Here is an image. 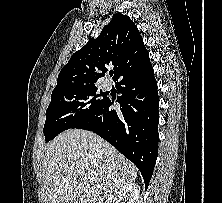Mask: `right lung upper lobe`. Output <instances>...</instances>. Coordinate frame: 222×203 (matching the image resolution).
Masks as SVG:
<instances>
[{"label": "right lung upper lobe", "instance_id": "cb5924a9", "mask_svg": "<svg viewBox=\"0 0 222 203\" xmlns=\"http://www.w3.org/2000/svg\"><path fill=\"white\" fill-rule=\"evenodd\" d=\"M147 61L149 54L137 26L128 16L116 14L98 38H91L71 56L60 71L53 92L95 85L110 65H113L115 81Z\"/></svg>", "mask_w": 222, "mask_h": 203}]
</instances>
